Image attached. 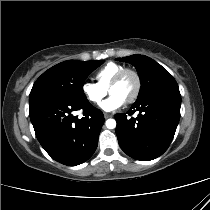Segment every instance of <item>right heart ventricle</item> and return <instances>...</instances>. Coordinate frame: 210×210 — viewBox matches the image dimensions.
<instances>
[{
  "label": "right heart ventricle",
  "instance_id": "right-heart-ventricle-1",
  "mask_svg": "<svg viewBox=\"0 0 210 210\" xmlns=\"http://www.w3.org/2000/svg\"><path fill=\"white\" fill-rule=\"evenodd\" d=\"M123 69L125 67L121 64L115 62L106 63L95 73L97 84L107 90L116 74Z\"/></svg>",
  "mask_w": 210,
  "mask_h": 210
}]
</instances>
